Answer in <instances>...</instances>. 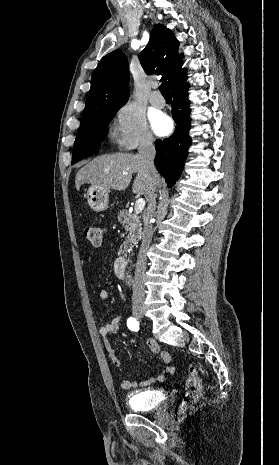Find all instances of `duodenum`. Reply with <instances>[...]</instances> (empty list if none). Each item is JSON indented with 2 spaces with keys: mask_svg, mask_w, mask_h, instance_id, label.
<instances>
[{
  "mask_svg": "<svg viewBox=\"0 0 279 465\" xmlns=\"http://www.w3.org/2000/svg\"><path fill=\"white\" fill-rule=\"evenodd\" d=\"M127 262L125 258V252L123 251L115 261V269L119 278L124 279L126 276Z\"/></svg>",
  "mask_w": 279,
  "mask_h": 465,
  "instance_id": "410a0bca",
  "label": "duodenum"
}]
</instances>
